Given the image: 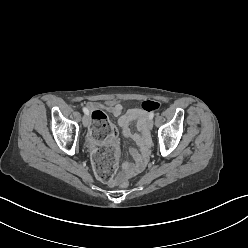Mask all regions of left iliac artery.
<instances>
[{
    "instance_id": "left-iliac-artery-1",
    "label": "left iliac artery",
    "mask_w": 248,
    "mask_h": 248,
    "mask_svg": "<svg viewBox=\"0 0 248 248\" xmlns=\"http://www.w3.org/2000/svg\"><path fill=\"white\" fill-rule=\"evenodd\" d=\"M154 115H155L154 112H151V113L149 114V119L152 120L153 117H154Z\"/></svg>"
}]
</instances>
